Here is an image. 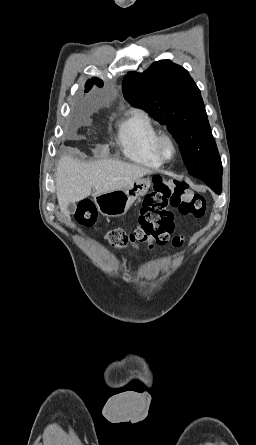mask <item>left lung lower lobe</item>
<instances>
[{"instance_id":"1","label":"left lung lower lobe","mask_w":256,"mask_h":445,"mask_svg":"<svg viewBox=\"0 0 256 445\" xmlns=\"http://www.w3.org/2000/svg\"><path fill=\"white\" fill-rule=\"evenodd\" d=\"M189 174L204 181L215 193H221L222 172L196 171L189 172Z\"/></svg>"}]
</instances>
